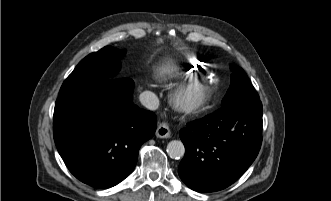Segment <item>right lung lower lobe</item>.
I'll use <instances>...</instances> for the list:
<instances>
[{
	"instance_id": "obj_1",
	"label": "right lung lower lobe",
	"mask_w": 331,
	"mask_h": 201,
	"mask_svg": "<svg viewBox=\"0 0 331 201\" xmlns=\"http://www.w3.org/2000/svg\"><path fill=\"white\" fill-rule=\"evenodd\" d=\"M130 78H107L58 97L53 133L70 172L97 188H110L134 169L141 145L152 138L156 116L132 102Z\"/></svg>"
}]
</instances>
